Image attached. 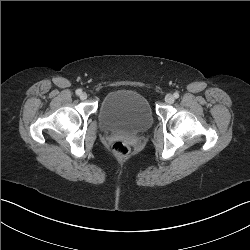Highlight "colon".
I'll list each match as a JSON object with an SVG mask.
<instances>
[{
	"instance_id": "5ec220e1",
	"label": "colon",
	"mask_w": 250,
	"mask_h": 250,
	"mask_svg": "<svg viewBox=\"0 0 250 250\" xmlns=\"http://www.w3.org/2000/svg\"><path fill=\"white\" fill-rule=\"evenodd\" d=\"M110 150L112 154L119 158L127 157L130 153V146L129 144L124 140H115L111 146Z\"/></svg>"
}]
</instances>
